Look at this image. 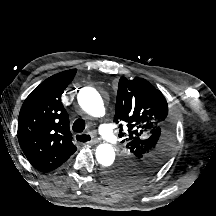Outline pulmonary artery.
Wrapping results in <instances>:
<instances>
[{"mask_svg": "<svg viewBox=\"0 0 216 216\" xmlns=\"http://www.w3.org/2000/svg\"><path fill=\"white\" fill-rule=\"evenodd\" d=\"M100 134L110 143L116 142V136L113 129L108 124H101L99 127Z\"/></svg>", "mask_w": 216, "mask_h": 216, "instance_id": "e3ab8cb5", "label": "pulmonary artery"}]
</instances>
